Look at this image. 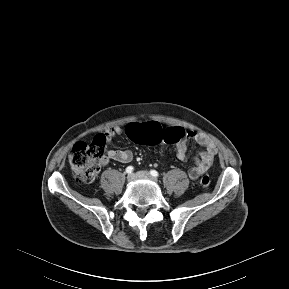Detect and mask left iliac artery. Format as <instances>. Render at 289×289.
<instances>
[{
  "instance_id": "44dca946",
  "label": "left iliac artery",
  "mask_w": 289,
  "mask_h": 289,
  "mask_svg": "<svg viewBox=\"0 0 289 289\" xmlns=\"http://www.w3.org/2000/svg\"><path fill=\"white\" fill-rule=\"evenodd\" d=\"M150 174L154 177H158L159 176V173L156 171V170H151L150 171Z\"/></svg>"
}]
</instances>
